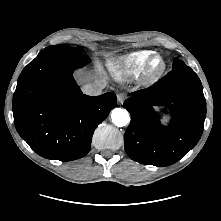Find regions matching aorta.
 I'll use <instances>...</instances> for the list:
<instances>
[{
	"instance_id": "obj_1",
	"label": "aorta",
	"mask_w": 221,
	"mask_h": 221,
	"mask_svg": "<svg viewBox=\"0 0 221 221\" xmlns=\"http://www.w3.org/2000/svg\"><path fill=\"white\" fill-rule=\"evenodd\" d=\"M111 119L114 125L123 127L129 123L130 116L126 109L115 108L111 112Z\"/></svg>"
}]
</instances>
